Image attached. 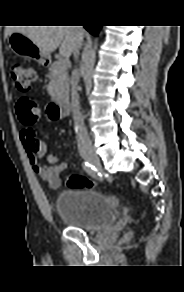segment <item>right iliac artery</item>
<instances>
[{
    "label": "right iliac artery",
    "instance_id": "right-iliac-artery-1",
    "mask_svg": "<svg viewBox=\"0 0 184 292\" xmlns=\"http://www.w3.org/2000/svg\"><path fill=\"white\" fill-rule=\"evenodd\" d=\"M82 165H83V169L90 176H92L95 179H98V181L105 182V180L102 179V176H101L100 172H98V170L93 165H91L89 162L83 161Z\"/></svg>",
    "mask_w": 184,
    "mask_h": 292
}]
</instances>
